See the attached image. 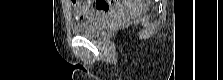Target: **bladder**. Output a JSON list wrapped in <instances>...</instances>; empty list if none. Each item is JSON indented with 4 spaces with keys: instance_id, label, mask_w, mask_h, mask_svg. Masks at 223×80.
Segmentation results:
<instances>
[{
    "instance_id": "obj_1",
    "label": "bladder",
    "mask_w": 223,
    "mask_h": 80,
    "mask_svg": "<svg viewBox=\"0 0 223 80\" xmlns=\"http://www.w3.org/2000/svg\"><path fill=\"white\" fill-rule=\"evenodd\" d=\"M110 16L109 13H104L82 22L73 23L71 30L77 36L89 39L95 38L106 28Z\"/></svg>"
}]
</instances>
